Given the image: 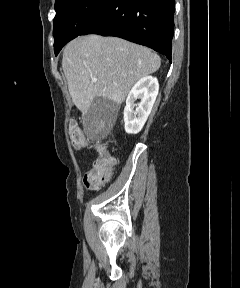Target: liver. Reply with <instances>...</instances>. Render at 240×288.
I'll return each instance as SVG.
<instances>
[{
  "mask_svg": "<svg viewBox=\"0 0 240 288\" xmlns=\"http://www.w3.org/2000/svg\"><path fill=\"white\" fill-rule=\"evenodd\" d=\"M160 65V57L147 47L93 34L72 40L62 59L70 96L84 115L95 97L121 104L131 87Z\"/></svg>",
  "mask_w": 240,
  "mask_h": 288,
  "instance_id": "1",
  "label": "liver"
}]
</instances>
